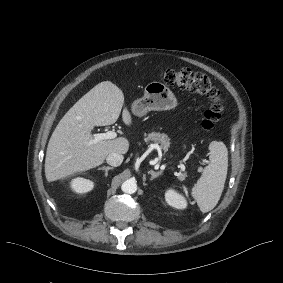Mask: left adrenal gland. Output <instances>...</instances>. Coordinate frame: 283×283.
Here are the masks:
<instances>
[{
	"label": "left adrenal gland",
	"mask_w": 283,
	"mask_h": 283,
	"mask_svg": "<svg viewBox=\"0 0 283 283\" xmlns=\"http://www.w3.org/2000/svg\"><path fill=\"white\" fill-rule=\"evenodd\" d=\"M148 173L151 174V180L155 179L156 177L162 174L161 171L155 172L153 170H150Z\"/></svg>",
	"instance_id": "left-adrenal-gland-1"
}]
</instances>
